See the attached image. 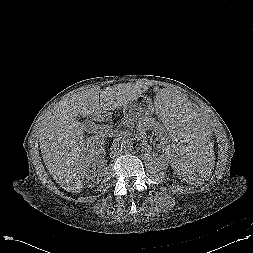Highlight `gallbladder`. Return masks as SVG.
Masks as SVG:
<instances>
[{"mask_svg": "<svg viewBox=\"0 0 253 253\" xmlns=\"http://www.w3.org/2000/svg\"><path fill=\"white\" fill-rule=\"evenodd\" d=\"M83 124L85 125L86 130H89V129H90L91 121L85 120V121L83 122Z\"/></svg>", "mask_w": 253, "mask_h": 253, "instance_id": "obj_1", "label": "gallbladder"}]
</instances>
